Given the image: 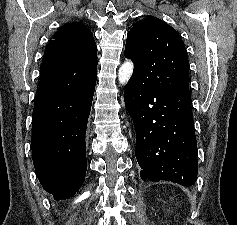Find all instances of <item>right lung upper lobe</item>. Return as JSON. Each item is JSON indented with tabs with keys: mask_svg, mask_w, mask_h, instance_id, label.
Returning <instances> with one entry per match:
<instances>
[{
	"mask_svg": "<svg viewBox=\"0 0 237 225\" xmlns=\"http://www.w3.org/2000/svg\"><path fill=\"white\" fill-rule=\"evenodd\" d=\"M97 46L83 23L63 25L48 43L36 96L78 89L96 79Z\"/></svg>",
	"mask_w": 237,
	"mask_h": 225,
	"instance_id": "1",
	"label": "right lung upper lobe"
}]
</instances>
